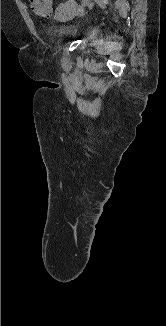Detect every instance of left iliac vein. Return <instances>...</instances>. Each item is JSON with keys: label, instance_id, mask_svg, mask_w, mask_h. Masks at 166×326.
<instances>
[{"label": "left iliac vein", "instance_id": "left-iliac-vein-1", "mask_svg": "<svg viewBox=\"0 0 166 326\" xmlns=\"http://www.w3.org/2000/svg\"><path fill=\"white\" fill-rule=\"evenodd\" d=\"M89 0H82V6L80 7L79 11H83L86 5L88 4Z\"/></svg>", "mask_w": 166, "mask_h": 326}]
</instances>
